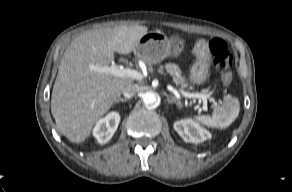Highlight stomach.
Wrapping results in <instances>:
<instances>
[{"label":"stomach","mask_w":292,"mask_h":192,"mask_svg":"<svg viewBox=\"0 0 292 192\" xmlns=\"http://www.w3.org/2000/svg\"><path fill=\"white\" fill-rule=\"evenodd\" d=\"M184 49V40L175 36L169 39L161 31L145 34L136 44L134 53L147 63H158L168 57H178ZM195 61L189 70L191 83L200 85L210 76L212 55L209 44L204 39H198L192 49Z\"/></svg>","instance_id":"obj_1"}]
</instances>
